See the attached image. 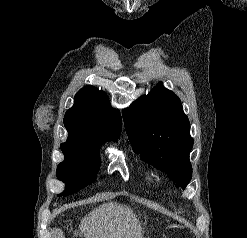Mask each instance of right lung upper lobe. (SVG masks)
Instances as JSON below:
<instances>
[{"label": "right lung upper lobe", "mask_w": 247, "mask_h": 238, "mask_svg": "<svg viewBox=\"0 0 247 238\" xmlns=\"http://www.w3.org/2000/svg\"><path fill=\"white\" fill-rule=\"evenodd\" d=\"M67 141L99 146L102 140H116L121 132V115L113 109L103 91L83 87L74 98V106L64 116Z\"/></svg>", "instance_id": "right-lung-upper-lobe-1"}]
</instances>
